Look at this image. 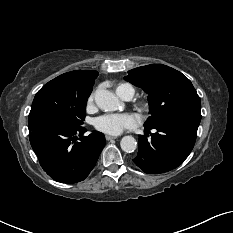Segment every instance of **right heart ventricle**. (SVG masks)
<instances>
[{
	"label": "right heart ventricle",
	"instance_id": "1",
	"mask_svg": "<svg viewBox=\"0 0 233 233\" xmlns=\"http://www.w3.org/2000/svg\"><path fill=\"white\" fill-rule=\"evenodd\" d=\"M116 92L120 97L124 98L128 94L133 96L135 90L130 84L122 83L116 87Z\"/></svg>",
	"mask_w": 233,
	"mask_h": 233
}]
</instances>
